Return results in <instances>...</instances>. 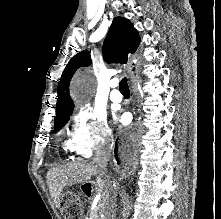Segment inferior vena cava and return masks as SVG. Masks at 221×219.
Wrapping results in <instances>:
<instances>
[{
	"label": "inferior vena cava",
	"instance_id": "obj_1",
	"mask_svg": "<svg viewBox=\"0 0 221 219\" xmlns=\"http://www.w3.org/2000/svg\"><path fill=\"white\" fill-rule=\"evenodd\" d=\"M113 148V142L111 139H102L95 149V157L93 158L92 164L96 168L99 176L108 177L107 164ZM108 217L115 218V212L110 211L107 214Z\"/></svg>",
	"mask_w": 221,
	"mask_h": 219
}]
</instances>
